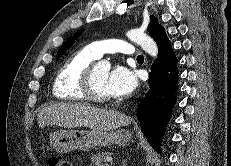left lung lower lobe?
Wrapping results in <instances>:
<instances>
[{"mask_svg": "<svg viewBox=\"0 0 231 166\" xmlns=\"http://www.w3.org/2000/svg\"><path fill=\"white\" fill-rule=\"evenodd\" d=\"M155 41L159 48V55L151 68L148 98L139 104L137 116L150 142L159 150L172 107L176 102L178 60L165 30L159 34Z\"/></svg>", "mask_w": 231, "mask_h": 166, "instance_id": "left-lung-lower-lobe-1", "label": "left lung lower lobe"}]
</instances>
